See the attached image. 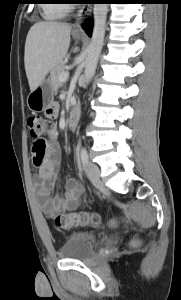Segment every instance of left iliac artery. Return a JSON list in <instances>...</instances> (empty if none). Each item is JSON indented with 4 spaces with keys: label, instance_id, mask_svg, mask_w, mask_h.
<instances>
[{
    "label": "left iliac artery",
    "instance_id": "1",
    "mask_svg": "<svg viewBox=\"0 0 181 300\" xmlns=\"http://www.w3.org/2000/svg\"><path fill=\"white\" fill-rule=\"evenodd\" d=\"M80 157L83 165L88 163V154L84 147L81 148Z\"/></svg>",
    "mask_w": 181,
    "mask_h": 300
}]
</instances>
